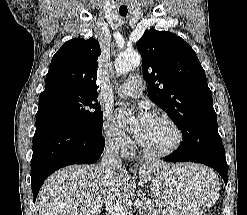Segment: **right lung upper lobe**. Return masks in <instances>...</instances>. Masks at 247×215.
<instances>
[{"label": "right lung upper lobe", "mask_w": 247, "mask_h": 215, "mask_svg": "<svg viewBox=\"0 0 247 215\" xmlns=\"http://www.w3.org/2000/svg\"><path fill=\"white\" fill-rule=\"evenodd\" d=\"M100 53L99 42L94 38H75L64 43L52 58L45 91L67 88L98 95L96 78Z\"/></svg>", "instance_id": "1"}]
</instances>
